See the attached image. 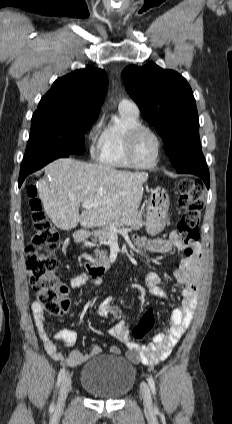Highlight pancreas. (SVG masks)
<instances>
[{"label":"pancreas","mask_w":232,"mask_h":424,"mask_svg":"<svg viewBox=\"0 0 232 424\" xmlns=\"http://www.w3.org/2000/svg\"><path fill=\"white\" fill-rule=\"evenodd\" d=\"M125 220H127V222H125ZM144 224L145 222L142 218V214L140 212H135L127 214L118 220H114L106 225V227L94 231L93 236L95 240H98L100 243H105L113 233L111 229L112 227L120 229L121 227L127 226L133 230H138L141 229ZM95 255V262L98 261L99 263H105L108 260L106 251H100L97 249L95 250Z\"/></svg>","instance_id":"1"}]
</instances>
